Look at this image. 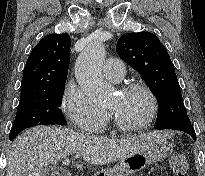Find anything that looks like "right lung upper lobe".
Wrapping results in <instances>:
<instances>
[{"label": "right lung upper lobe", "instance_id": "cb5924a9", "mask_svg": "<svg viewBox=\"0 0 205 176\" xmlns=\"http://www.w3.org/2000/svg\"><path fill=\"white\" fill-rule=\"evenodd\" d=\"M71 40L68 34H51L31 51L23 72L21 96L66 82Z\"/></svg>", "mask_w": 205, "mask_h": 176}]
</instances>
